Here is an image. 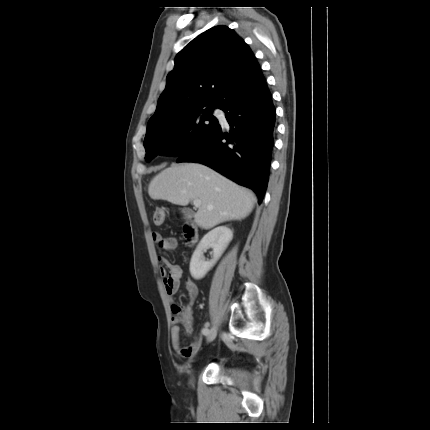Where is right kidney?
<instances>
[{"mask_svg": "<svg viewBox=\"0 0 430 430\" xmlns=\"http://www.w3.org/2000/svg\"><path fill=\"white\" fill-rule=\"evenodd\" d=\"M232 237L233 232L227 226L216 227L204 235L190 261V274L194 279H202L207 274L220 258ZM208 247L213 248V258L205 261L203 251Z\"/></svg>", "mask_w": 430, "mask_h": 430, "instance_id": "right-kidney-1", "label": "right kidney"}]
</instances>
